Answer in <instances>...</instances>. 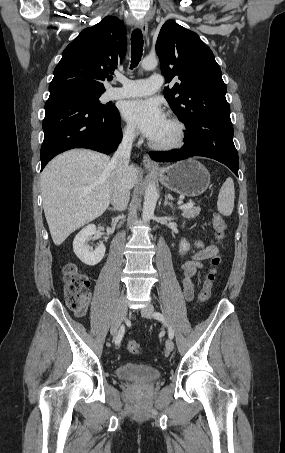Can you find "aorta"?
I'll return each instance as SVG.
<instances>
[{
  "label": "aorta",
  "mask_w": 285,
  "mask_h": 453,
  "mask_svg": "<svg viewBox=\"0 0 285 453\" xmlns=\"http://www.w3.org/2000/svg\"><path fill=\"white\" fill-rule=\"evenodd\" d=\"M158 60L156 57L147 56L141 66L144 70H153L157 67ZM158 200V192L154 184H149L144 195V204L142 210V218L144 221H149L154 216V210Z\"/></svg>",
  "instance_id": "762f6f07"
}]
</instances>
